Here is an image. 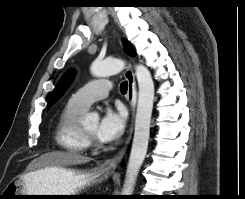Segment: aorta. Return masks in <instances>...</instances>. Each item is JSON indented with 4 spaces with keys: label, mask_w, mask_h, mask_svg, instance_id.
<instances>
[{
    "label": "aorta",
    "mask_w": 245,
    "mask_h": 199,
    "mask_svg": "<svg viewBox=\"0 0 245 199\" xmlns=\"http://www.w3.org/2000/svg\"><path fill=\"white\" fill-rule=\"evenodd\" d=\"M125 65L124 60L112 58L103 61H94L90 70L95 77H107L120 73L125 68ZM135 75L139 88L138 104L134 137L122 195H132L139 170L147 154L154 102V83L150 71L144 65L139 64L135 66ZM97 119L98 115L91 113L86 117L85 121L89 122Z\"/></svg>",
    "instance_id": "aorta-1"
}]
</instances>
